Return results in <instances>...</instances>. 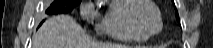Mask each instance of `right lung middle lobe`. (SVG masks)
I'll list each match as a JSON object with an SVG mask.
<instances>
[{
    "label": "right lung middle lobe",
    "mask_w": 213,
    "mask_h": 48,
    "mask_svg": "<svg viewBox=\"0 0 213 48\" xmlns=\"http://www.w3.org/2000/svg\"><path fill=\"white\" fill-rule=\"evenodd\" d=\"M80 2L81 0H54V2L46 10V13L49 15L69 13Z\"/></svg>",
    "instance_id": "1"
}]
</instances>
